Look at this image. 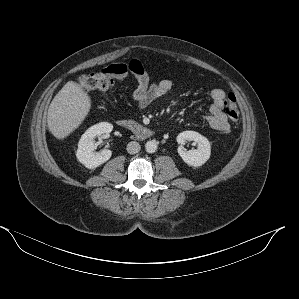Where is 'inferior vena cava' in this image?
<instances>
[{"mask_svg":"<svg viewBox=\"0 0 299 299\" xmlns=\"http://www.w3.org/2000/svg\"><path fill=\"white\" fill-rule=\"evenodd\" d=\"M140 144L136 141H131L127 145V152L130 154H136L140 151Z\"/></svg>","mask_w":299,"mask_h":299,"instance_id":"inferior-vena-cava-1","label":"inferior vena cava"}]
</instances>
